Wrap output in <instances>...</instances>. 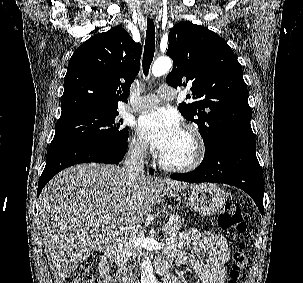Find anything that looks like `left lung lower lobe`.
Masks as SVG:
<instances>
[{
	"instance_id": "obj_1",
	"label": "left lung lower lobe",
	"mask_w": 303,
	"mask_h": 283,
	"mask_svg": "<svg viewBox=\"0 0 303 283\" xmlns=\"http://www.w3.org/2000/svg\"><path fill=\"white\" fill-rule=\"evenodd\" d=\"M174 180L201 183L213 182L236 186L248 193L263 215L264 180L256 157L253 135H232L222 139L197 169L189 173L171 174Z\"/></svg>"
}]
</instances>
